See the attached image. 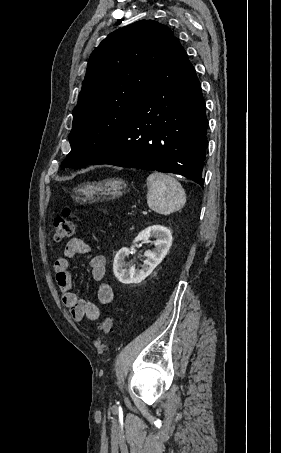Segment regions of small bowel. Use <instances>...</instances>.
<instances>
[{
	"instance_id": "obj_1",
	"label": "small bowel",
	"mask_w": 281,
	"mask_h": 453,
	"mask_svg": "<svg viewBox=\"0 0 281 453\" xmlns=\"http://www.w3.org/2000/svg\"><path fill=\"white\" fill-rule=\"evenodd\" d=\"M89 252L90 246L84 239L71 238L65 248L64 255L58 257L53 265L55 277L62 292L63 304L70 310L71 317L75 321L83 319L99 320L101 304H108L113 300L112 289L105 283V258L101 254L91 255L88 261L91 277L99 285L97 290L99 304L83 301L71 291L73 282L69 259L76 254H88Z\"/></svg>"
}]
</instances>
